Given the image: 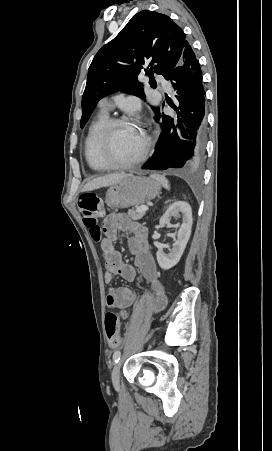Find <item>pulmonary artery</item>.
<instances>
[{
    "label": "pulmonary artery",
    "mask_w": 272,
    "mask_h": 451,
    "mask_svg": "<svg viewBox=\"0 0 272 451\" xmlns=\"http://www.w3.org/2000/svg\"><path fill=\"white\" fill-rule=\"evenodd\" d=\"M158 78L161 81L160 85L162 86L161 87L162 92H164L167 96H170L172 94V86L170 85L169 80L166 79L167 78L166 75L162 73L159 75ZM100 106L102 108H109L110 102L108 101V99H103L100 102Z\"/></svg>",
    "instance_id": "pulmonary-artery-1"
}]
</instances>
